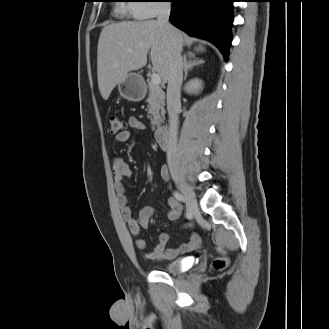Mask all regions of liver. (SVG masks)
Wrapping results in <instances>:
<instances>
[{
	"label": "liver",
	"instance_id": "liver-1",
	"mask_svg": "<svg viewBox=\"0 0 329 329\" xmlns=\"http://www.w3.org/2000/svg\"><path fill=\"white\" fill-rule=\"evenodd\" d=\"M175 31L182 50L187 37L179 30ZM203 50L201 45L196 48V51ZM149 51L153 70L163 82H167L171 44L166 31L156 20L124 21L106 25L102 29L97 48V78L104 100L109 98L115 86L123 82L129 72L146 65Z\"/></svg>",
	"mask_w": 329,
	"mask_h": 329
}]
</instances>
